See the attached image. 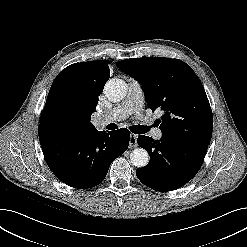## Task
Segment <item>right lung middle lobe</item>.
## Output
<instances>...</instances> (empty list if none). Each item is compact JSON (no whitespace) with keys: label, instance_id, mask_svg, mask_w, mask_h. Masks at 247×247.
I'll list each match as a JSON object with an SVG mask.
<instances>
[{"label":"right lung middle lobe","instance_id":"1","mask_svg":"<svg viewBox=\"0 0 247 247\" xmlns=\"http://www.w3.org/2000/svg\"><path fill=\"white\" fill-rule=\"evenodd\" d=\"M72 115V103L70 88L67 82H64L59 89L58 95L42 118V122L49 128L62 131L70 121Z\"/></svg>","mask_w":247,"mask_h":247}]
</instances>
